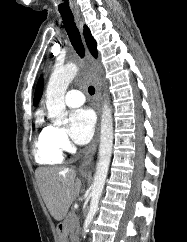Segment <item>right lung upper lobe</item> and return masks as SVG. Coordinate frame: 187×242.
<instances>
[{"instance_id":"right-lung-upper-lobe-1","label":"right lung upper lobe","mask_w":187,"mask_h":242,"mask_svg":"<svg viewBox=\"0 0 187 242\" xmlns=\"http://www.w3.org/2000/svg\"><path fill=\"white\" fill-rule=\"evenodd\" d=\"M84 37L91 54L96 58L97 57L96 41L93 39L90 33V30L88 29L87 26H84ZM42 92H43V78L41 76L35 91V96L33 100L34 105L38 104L39 100L41 99Z\"/></svg>"}]
</instances>
